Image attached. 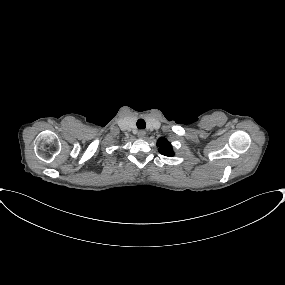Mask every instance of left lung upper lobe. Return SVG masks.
Listing matches in <instances>:
<instances>
[{
    "instance_id": "left-lung-upper-lobe-1",
    "label": "left lung upper lobe",
    "mask_w": 285,
    "mask_h": 285,
    "mask_svg": "<svg viewBox=\"0 0 285 285\" xmlns=\"http://www.w3.org/2000/svg\"><path fill=\"white\" fill-rule=\"evenodd\" d=\"M157 146L159 147V152L165 156L171 157L174 155L172 146L165 138H159L157 141Z\"/></svg>"
}]
</instances>
